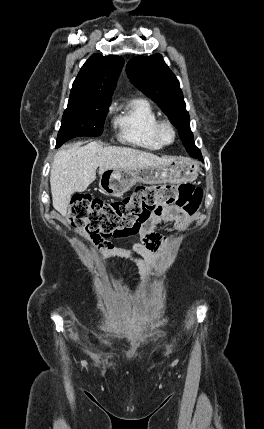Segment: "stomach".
I'll use <instances>...</instances> for the list:
<instances>
[{
    "label": "stomach",
    "instance_id": "stomach-1",
    "mask_svg": "<svg viewBox=\"0 0 264 429\" xmlns=\"http://www.w3.org/2000/svg\"><path fill=\"white\" fill-rule=\"evenodd\" d=\"M199 165L189 158H178L165 166H150L137 171L109 169L100 174L99 186L104 194L120 197L136 183L181 184L194 181Z\"/></svg>",
    "mask_w": 264,
    "mask_h": 429
}]
</instances>
